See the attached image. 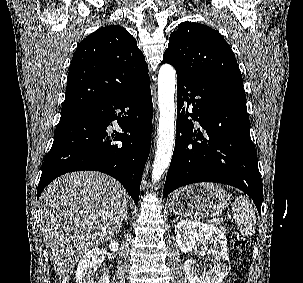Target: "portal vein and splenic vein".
I'll return each instance as SVG.
<instances>
[{"mask_svg": "<svg viewBox=\"0 0 303 283\" xmlns=\"http://www.w3.org/2000/svg\"><path fill=\"white\" fill-rule=\"evenodd\" d=\"M212 222H215L216 224H220V220L216 218L212 219Z\"/></svg>", "mask_w": 303, "mask_h": 283, "instance_id": "portal-vein-and-splenic-vein-1", "label": "portal vein and splenic vein"}]
</instances>
